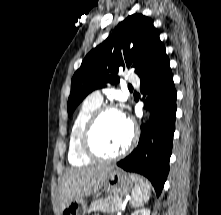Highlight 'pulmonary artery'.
<instances>
[{"mask_svg": "<svg viewBox=\"0 0 221 215\" xmlns=\"http://www.w3.org/2000/svg\"><path fill=\"white\" fill-rule=\"evenodd\" d=\"M128 80L130 83H132L134 85L139 84V78L136 75H130ZM91 97H93L94 99H96L98 101H102V95L100 94L99 91H95L94 93H92Z\"/></svg>", "mask_w": 221, "mask_h": 215, "instance_id": "e3ab8cb5", "label": "pulmonary artery"}]
</instances>
